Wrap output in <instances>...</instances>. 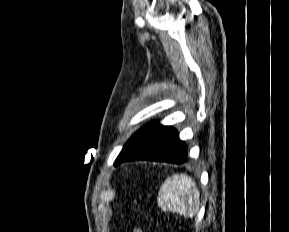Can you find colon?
Listing matches in <instances>:
<instances>
[{"label": "colon", "mask_w": 289, "mask_h": 232, "mask_svg": "<svg viewBox=\"0 0 289 232\" xmlns=\"http://www.w3.org/2000/svg\"><path fill=\"white\" fill-rule=\"evenodd\" d=\"M132 232H141V230L137 227V226H135L134 228H133V231Z\"/></svg>", "instance_id": "obj_1"}]
</instances>
